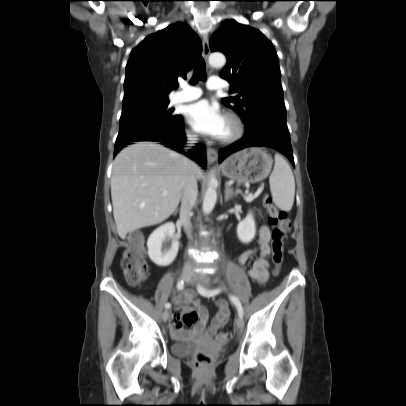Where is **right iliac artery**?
Returning <instances> with one entry per match:
<instances>
[{
  "label": "right iliac artery",
  "instance_id": "82829eb1",
  "mask_svg": "<svg viewBox=\"0 0 406 406\" xmlns=\"http://www.w3.org/2000/svg\"><path fill=\"white\" fill-rule=\"evenodd\" d=\"M183 288H184V281L183 280H180V281H178V283H177V289L178 290H183ZM171 307V304L170 303H166L165 304V308L166 309H169Z\"/></svg>",
  "mask_w": 406,
  "mask_h": 406
}]
</instances>
